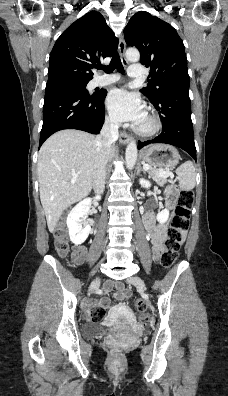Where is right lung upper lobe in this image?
<instances>
[{
  "label": "right lung upper lobe",
  "instance_id": "right-lung-upper-lobe-1",
  "mask_svg": "<svg viewBox=\"0 0 228 396\" xmlns=\"http://www.w3.org/2000/svg\"><path fill=\"white\" fill-rule=\"evenodd\" d=\"M118 47L104 17L91 11L72 23L57 39L49 58L46 88L70 82H89L91 69Z\"/></svg>",
  "mask_w": 228,
  "mask_h": 396
}]
</instances>
